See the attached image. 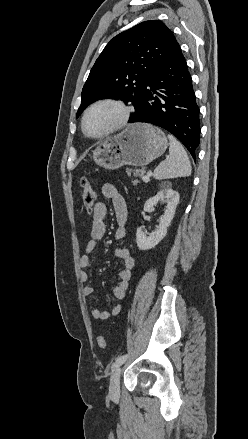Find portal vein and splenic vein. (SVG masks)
<instances>
[{"label": "portal vein and splenic vein", "instance_id": "1", "mask_svg": "<svg viewBox=\"0 0 248 439\" xmlns=\"http://www.w3.org/2000/svg\"><path fill=\"white\" fill-rule=\"evenodd\" d=\"M151 174H152V172H148V175L143 177V181L144 182H148L149 181V176H151Z\"/></svg>", "mask_w": 248, "mask_h": 439}]
</instances>
